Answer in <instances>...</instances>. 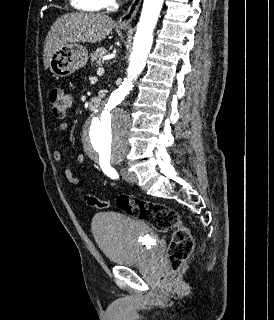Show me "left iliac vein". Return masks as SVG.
Returning a JSON list of instances; mask_svg holds the SVG:
<instances>
[{"label":"left iliac vein","mask_w":274,"mask_h":320,"mask_svg":"<svg viewBox=\"0 0 274 320\" xmlns=\"http://www.w3.org/2000/svg\"><path fill=\"white\" fill-rule=\"evenodd\" d=\"M121 175H122V177H123L126 181H128V182H130V183H136V182H137V176H136V174L130 172V171H129L127 168H125V167H123V168L121 169Z\"/></svg>","instance_id":"left-iliac-vein-1"}]
</instances>
